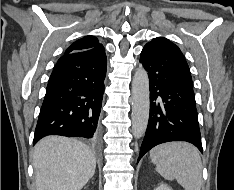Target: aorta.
<instances>
[{
    "instance_id": "obj_1",
    "label": "aorta",
    "mask_w": 234,
    "mask_h": 190,
    "mask_svg": "<svg viewBox=\"0 0 234 190\" xmlns=\"http://www.w3.org/2000/svg\"><path fill=\"white\" fill-rule=\"evenodd\" d=\"M132 133L135 138H141L146 131L149 110V78L143 68L136 70L132 80Z\"/></svg>"
}]
</instances>
